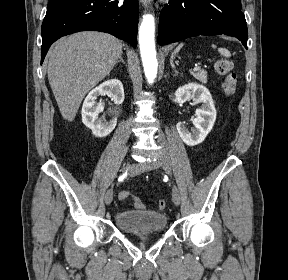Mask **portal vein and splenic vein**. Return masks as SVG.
Wrapping results in <instances>:
<instances>
[{
	"label": "portal vein and splenic vein",
	"instance_id": "18ae733b",
	"mask_svg": "<svg viewBox=\"0 0 288 280\" xmlns=\"http://www.w3.org/2000/svg\"><path fill=\"white\" fill-rule=\"evenodd\" d=\"M200 69V67L196 66L193 68V71H198Z\"/></svg>",
	"mask_w": 288,
	"mask_h": 280
}]
</instances>
